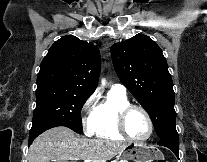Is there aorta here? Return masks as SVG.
I'll list each match as a JSON object with an SVG mask.
<instances>
[{"label": "aorta", "instance_id": "1", "mask_svg": "<svg viewBox=\"0 0 207 162\" xmlns=\"http://www.w3.org/2000/svg\"><path fill=\"white\" fill-rule=\"evenodd\" d=\"M106 81L105 79H102V85H105Z\"/></svg>", "mask_w": 207, "mask_h": 162}]
</instances>
